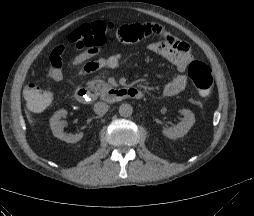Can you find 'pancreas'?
I'll list each match as a JSON object with an SVG mask.
<instances>
[{
	"label": "pancreas",
	"mask_w": 254,
	"mask_h": 216,
	"mask_svg": "<svg viewBox=\"0 0 254 216\" xmlns=\"http://www.w3.org/2000/svg\"><path fill=\"white\" fill-rule=\"evenodd\" d=\"M87 85L94 91H101L109 87V84L102 80L89 81Z\"/></svg>",
	"instance_id": "1"
}]
</instances>
